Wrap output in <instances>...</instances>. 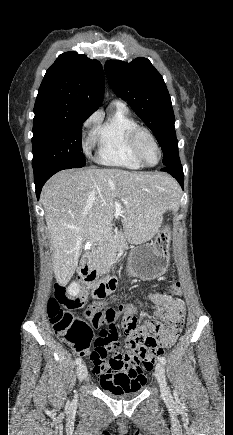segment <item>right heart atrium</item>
<instances>
[{"instance_id": "obj_1", "label": "right heart atrium", "mask_w": 233, "mask_h": 435, "mask_svg": "<svg viewBox=\"0 0 233 435\" xmlns=\"http://www.w3.org/2000/svg\"><path fill=\"white\" fill-rule=\"evenodd\" d=\"M95 120H96V117L93 115V116H91V117H89L87 120H86V122H85V126H90V125H92L94 122H95Z\"/></svg>"}]
</instances>
